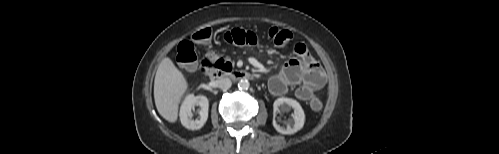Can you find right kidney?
<instances>
[{"label":"right kidney","mask_w":499,"mask_h":154,"mask_svg":"<svg viewBox=\"0 0 499 154\" xmlns=\"http://www.w3.org/2000/svg\"><path fill=\"white\" fill-rule=\"evenodd\" d=\"M195 106H199L200 109L198 111L200 118L192 119V109ZM208 108L209 102L207 97L205 96H194L192 94L188 95L184 102L182 103L180 109V120L184 127L187 129L198 130L203 127L208 118Z\"/></svg>","instance_id":"obj_1"}]
</instances>
